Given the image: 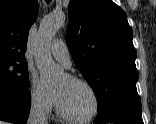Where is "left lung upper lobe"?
Listing matches in <instances>:
<instances>
[{"instance_id":"1","label":"left lung upper lobe","mask_w":156,"mask_h":124,"mask_svg":"<svg viewBox=\"0 0 156 124\" xmlns=\"http://www.w3.org/2000/svg\"><path fill=\"white\" fill-rule=\"evenodd\" d=\"M66 33L71 56L92 87L97 116L113 110L141 113L133 32L112 0H71Z\"/></svg>"}]
</instances>
